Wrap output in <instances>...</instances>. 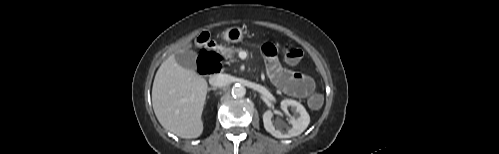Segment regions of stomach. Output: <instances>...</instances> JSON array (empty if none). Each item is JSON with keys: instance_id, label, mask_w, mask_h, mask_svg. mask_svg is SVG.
Wrapping results in <instances>:
<instances>
[{"instance_id": "0dacf381", "label": "stomach", "mask_w": 499, "mask_h": 154, "mask_svg": "<svg viewBox=\"0 0 499 154\" xmlns=\"http://www.w3.org/2000/svg\"><path fill=\"white\" fill-rule=\"evenodd\" d=\"M244 36V31L238 26L230 27L226 29L222 34L223 40L228 43L241 42L244 39Z\"/></svg>"}]
</instances>
